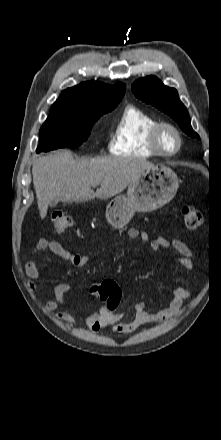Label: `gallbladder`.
I'll return each mask as SVG.
<instances>
[{
  "instance_id": "1",
  "label": "gallbladder",
  "mask_w": 221,
  "mask_h": 440,
  "mask_svg": "<svg viewBox=\"0 0 221 440\" xmlns=\"http://www.w3.org/2000/svg\"><path fill=\"white\" fill-rule=\"evenodd\" d=\"M57 203H58V201H56V200H53V201H51V202H50V204H49V205H50V207H52V208H53V207H55V206L57 205Z\"/></svg>"
}]
</instances>
